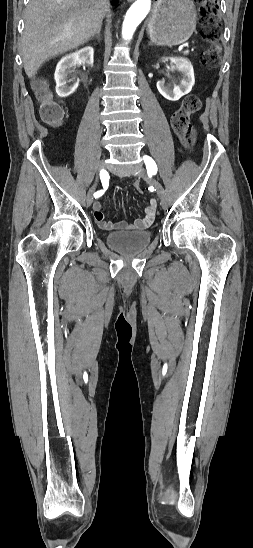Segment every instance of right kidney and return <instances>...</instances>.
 <instances>
[{
	"mask_svg": "<svg viewBox=\"0 0 253 548\" xmlns=\"http://www.w3.org/2000/svg\"><path fill=\"white\" fill-rule=\"evenodd\" d=\"M94 50L92 47H84L79 51L64 56L57 64L54 79L56 81V93L59 97L65 98L75 92L78 82L69 85L74 79H68L71 68L79 63L93 64Z\"/></svg>",
	"mask_w": 253,
	"mask_h": 548,
	"instance_id": "right-kidney-1",
	"label": "right kidney"
}]
</instances>
